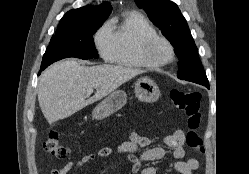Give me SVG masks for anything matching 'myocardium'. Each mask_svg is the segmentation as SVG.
Listing matches in <instances>:
<instances>
[{
  "label": "myocardium",
  "instance_id": "myocardium-1",
  "mask_svg": "<svg viewBox=\"0 0 249 174\" xmlns=\"http://www.w3.org/2000/svg\"><path fill=\"white\" fill-rule=\"evenodd\" d=\"M159 44H164L167 47V57H159L155 54V49ZM139 53L145 61L156 67L169 64L175 57L173 44L166 37L158 34L146 37L139 47Z\"/></svg>",
  "mask_w": 249,
  "mask_h": 174
}]
</instances>
